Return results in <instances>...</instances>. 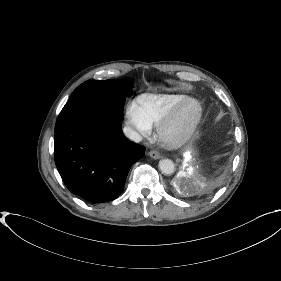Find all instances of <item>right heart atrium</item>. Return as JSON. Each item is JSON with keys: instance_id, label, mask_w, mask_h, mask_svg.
I'll list each match as a JSON object with an SVG mask.
<instances>
[{"instance_id": "1", "label": "right heart atrium", "mask_w": 281, "mask_h": 281, "mask_svg": "<svg viewBox=\"0 0 281 281\" xmlns=\"http://www.w3.org/2000/svg\"><path fill=\"white\" fill-rule=\"evenodd\" d=\"M126 122L134 128L140 135L147 136L150 127L143 121L135 103H130L125 109Z\"/></svg>"}]
</instances>
